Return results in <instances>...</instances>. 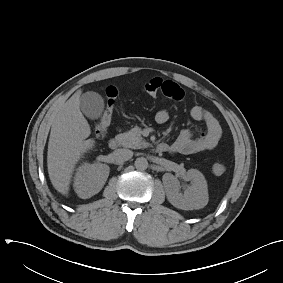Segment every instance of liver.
Here are the masks:
<instances>
[{
  "mask_svg": "<svg viewBox=\"0 0 283 283\" xmlns=\"http://www.w3.org/2000/svg\"><path fill=\"white\" fill-rule=\"evenodd\" d=\"M78 91L68 99L54 117L48 142L47 167L53 187L68 195L72 174L77 162L94 145L86 140L91 129L80 110Z\"/></svg>",
  "mask_w": 283,
  "mask_h": 283,
  "instance_id": "obj_1",
  "label": "liver"
}]
</instances>
